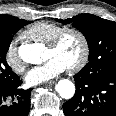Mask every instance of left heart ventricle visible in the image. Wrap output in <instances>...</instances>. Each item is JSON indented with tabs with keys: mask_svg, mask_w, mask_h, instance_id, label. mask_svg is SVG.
Here are the masks:
<instances>
[{
	"mask_svg": "<svg viewBox=\"0 0 116 116\" xmlns=\"http://www.w3.org/2000/svg\"><path fill=\"white\" fill-rule=\"evenodd\" d=\"M82 46L79 38L74 34L67 35L57 49L48 47L46 59L58 57L68 67L74 64L81 56Z\"/></svg>",
	"mask_w": 116,
	"mask_h": 116,
	"instance_id": "1",
	"label": "left heart ventricle"
}]
</instances>
